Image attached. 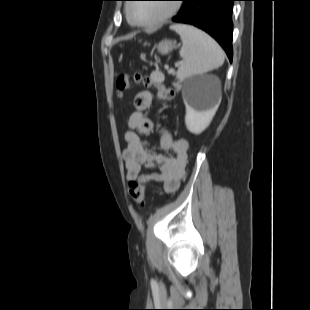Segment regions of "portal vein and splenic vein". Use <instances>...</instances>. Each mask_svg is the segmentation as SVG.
I'll return each instance as SVG.
<instances>
[{
  "label": "portal vein and splenic vein",
  "instance_id": "obj_1",
  "mask_svg": "<svg viewBox=\"0 0 310 310\" xmlns=\"http://www.w3.org/2000/svg\"><path fill=\"white\" fill-rule=\"evenodd\" d=\"M176 66L177 67L180 66V63L176 64ZM165 68L168 69V66H165ZM171 71L173 72L174 70H171Z\"/></svg>",
  "mask_w": 310,
  "mask_h": 310
}]
</instances>
